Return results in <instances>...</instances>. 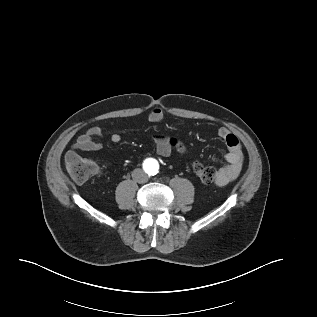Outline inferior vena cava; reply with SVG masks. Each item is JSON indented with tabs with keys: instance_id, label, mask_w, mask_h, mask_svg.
<instances>
[{
	"instance_id": "1",
	"label": "inferior vena cava",
	"mask_w": 317,
	"mask_h": 317,
	"mask_svg": "<svg viewBox=\"0 0 317 317\" xmlns=\"http://www.w3.org/2000/svg\"><path fill=\"white\" fill-rule=\"evenodd\" d=\"M132 178L138 183H146L148 181L147 174L142 169H134L132 172Z\"/></svg>"
}]
</instances>
